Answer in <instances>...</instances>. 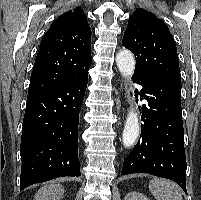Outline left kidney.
Returning <instances> with one entry per match:
<instances>
[{
    "label": "left kidney",
    "mask_w": 201,
    "mask_h": 200,
    "mask_svg": "<svg viewBox=\"0 0 201 200\" xmlns=\"http://www.w3.org/2000/svg\"><path fill=\"white\" fill-rule=\"evenodd\" d=\"M124 200H149V198H147L142 193L131 192L126 194Z\"/></svg>",
    "instance_id": "obj_1"
}]
</instances>
